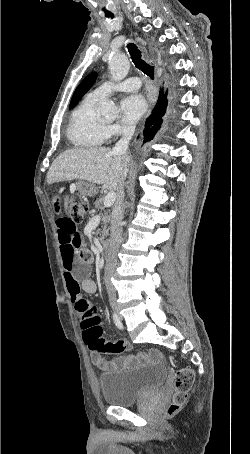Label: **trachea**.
Wrapping results in <instances>:
<instances>
[{"label":"trachea","mask_w":250,"mask_h":454,"mask_svg":"<svg viewBox=\"0 0 250 454\" xmlns=\"http://www.w3.org/2000/svg\"><path fill=\"white\" fill-rule=\"evenodd\" d=\"M128 51L131 55V59L135 64V67L141 70L144 74L154 79V67L149 65L145 60L142 59L141 51L133 43L127 45Z\"/></svg>","instance_id":"obj_1"}]
</instances>
